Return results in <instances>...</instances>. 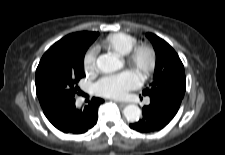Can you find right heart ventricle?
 Masks as SVG:
<instances>
[{
	"instance_id": "right-heart-ventricle-1",
	"label": "right heart ventricle",
	"mask_w": 225,
	"mask_h": 155,
	"mask_svg": "<svg viewBox=\"0 0 225 155\" xmlns=\"http://www.w3.org/2000/svg\"><path fill=\"white\" fill-rule=\"evenodd\" d=\"M136 38L124 32L111 33L101 42V46L119 55H126L136 44Z\"/></svg>"
}]
</instances>
